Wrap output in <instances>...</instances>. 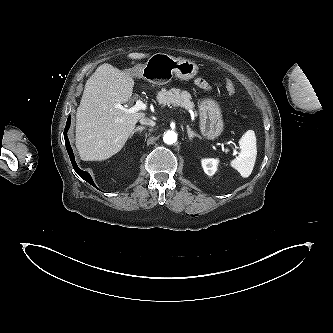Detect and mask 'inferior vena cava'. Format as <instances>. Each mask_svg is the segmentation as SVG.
I'll list each match as a JSON object with an SVG mask.
<instances>
[{
  "instance_id": "1",
  "label": "inferior vena cava",
  "mask_w": 333,
  "mask_h": 333,
  "mask_svg": "<svg viewBox=\"0 0 333 333\" xmlns=\"http://www.w3.org/2000/svg\"><path fill=\"white\" fill-rule=\"evenodd\" d=\"M140 123H141L142 125H148V126H154V125H155V122L152 121V120L149 119V118H141V119H140Z\"/></svg>"
}]
</instances>
